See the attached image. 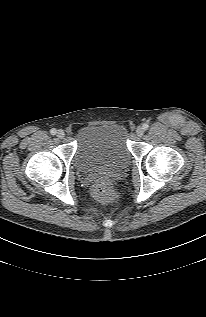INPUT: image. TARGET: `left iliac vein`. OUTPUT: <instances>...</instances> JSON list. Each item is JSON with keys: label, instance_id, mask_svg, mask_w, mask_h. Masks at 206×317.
I'll use <instances>...</instances> for the list:
<instances>
[{"label": "left iliac vein", "instance_id": "1", "mask_svg": "<svg viewBox=\"0 0 206 317\" xmlns=\"http://www.w3.org/2000/svg\"><path fill=\"white\" fill-rule=\"evenodd\" d=\"M136 134L137 136L141 137L144 134V128L141 126L137 127Z\"/></svg>", "mask_w": 206, "mask_h": 317}]
</instances>
